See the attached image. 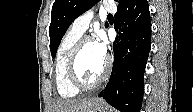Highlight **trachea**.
<instances>
[{
    "label": "trachea",
    "instance_id": "trachea-1",
    "mask_svg": "<svg viewBox=\"0 0 193 112\" xmlns=\"http://www.w3.org/2000/svg\"><path fill=\"white\" fill-rule=\"evenodd\" d=\"M108 17H113L111 14H108Z\"/></svg>",
    "mask_w": 193,
    "mask_h": 112
}]
</instances>
